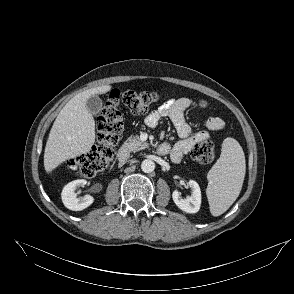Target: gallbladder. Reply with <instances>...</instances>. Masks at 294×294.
<instances>
[{
  "label": "gallbladder",
  "instance_id": "obj_1",
  "mask_svg": "<svg viewBox=\"0 0 294 294\" xmlns=\"http://www.w3.org/2000/svg\"><path fill=\"white\" fill-rule=\"evenodd\" d=\"M86 108L92 114H97L102 108V100L97 95L91 96L86 102Z\"/></svg>",
  "mask_w": 294,
  "mask_h": 294
}]
</instances>
